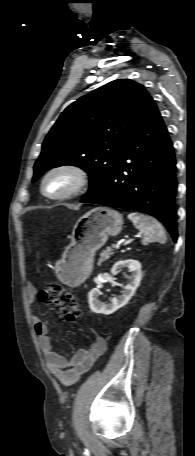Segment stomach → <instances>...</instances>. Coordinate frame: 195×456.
<instances>
[{
    "label": "stomach",
    "instance_id": "0dacf381",
    "mask_svg": "<svg viewBox=\"0 0 195 456\" xmlns=\"http://www.w3.org/2000/svg\"><path fill=\"white\" fill-rule=\"evenodd\" d=\"M122 215L107 207L94 208L82 215L72 230L71 243L56 266L58 278L65 284L77 286L89 276L95 252L122 230Z\"/></svg>",
    "mask_w": 195,
    "mask_h": 456
}]
</instances>
